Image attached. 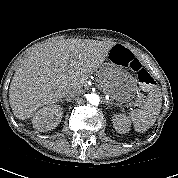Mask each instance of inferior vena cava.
<instances>
[{
	"instance_id": "obj_1",
	"label": "inferior vena cava",
	"mask_w": 178,
	"mask_h": 178,
	"mask_svg": "<svg viewBox=\"0 0 178 178\" xmlns=\"http://www.w3.org/2000/svg\"><path fill=\"white\" fill-rule=\"evenodd\" d=\"M82 93V90L73 89L68 95L67 98H73L74 96H77Z\"/></svg>"
}]
</instances>
